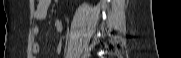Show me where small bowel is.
Returning <instances> with one entry per match:
<instances>
[{"label":"small bowel","mask_w":181,"mask_h":58,"mask_svg":"<svg viewBox=\"0 0 181 58\" xmlns=\"http://www.w3.org/2000/svg\"><path fill=\"white\" fill-rule=\"evenodd\" d=\"M50 4H51V0H39L38 1L36 8H35V11H34V19L36 20V22H41L46 18ZM55 27H56L57 31H59V32L62 31L63 26H62V23L60 21H57L55 23ZM33 34L35 36H37L39 34L38 25H35L33 27ZM60 49H61V47L59 45L58 46V52L60 51ZM32 51L35 54L39 53L40 46L37 42L33 43Z\"/></svg>","instance_id":"obj_1"}]
</instances>
